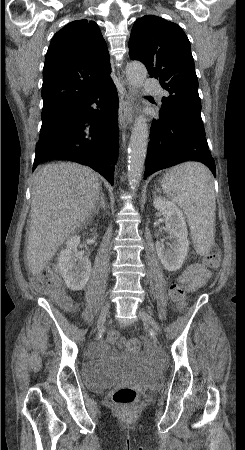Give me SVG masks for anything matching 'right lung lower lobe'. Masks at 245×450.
I'll return each mask as SVG.
<instances>
[{
	"label": "right lung lower lobe",
	"instance_id": "1",
	"mask_svg": "<svg viewBox=\"0 0 245 450\" xmlns=\"http://www.w3.org/2000/svg\"><path fill=\"white\" fill-rule=\"evenodd\" d=\"M118 95L111 78L50 114L42 124L33 165L69 160L88 165L111 185L118 155Z\"/></svg>",
	"mask_w": 245,
	"mask_h": 450
}]
</instances>
